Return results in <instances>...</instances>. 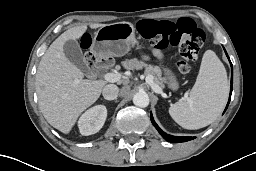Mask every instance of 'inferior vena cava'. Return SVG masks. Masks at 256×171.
<instances>
[{
    "label": "inferior vena cava",
    "mask_w": 256,
    "mask_h": 171,
    "mask_svg": "<svg viewBox=\"0 0 256 171\" xmlns=\"http://www.w3.org/2000/svg\"><path fill=\"white\" fill-rule=\"evenodd\" d=\"M102 93L106 100H114L118 97L119 88L114 84H108L103 88Z\"/></svg>",
    "instance_id": "obj_1"
}]
</instances>
